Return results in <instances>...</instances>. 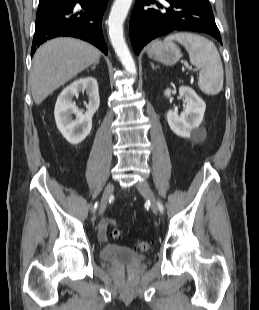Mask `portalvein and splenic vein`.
<instances>
[{"mask_svg": "<svg viewBox=\"0 0 259 310\" xmlns=\"http://www.w3.org/2000/svg\"><path fill=\"white\" fill-rule=\"evenodd\" d=\"M187 68H188L189 70H191V69H192V67H191V66H187Z\"/></svg>", "mask_w": 259, "mask_h": 310, "instance_id": "1", "label": "portal vein and splenic vein"}]
</instances>
